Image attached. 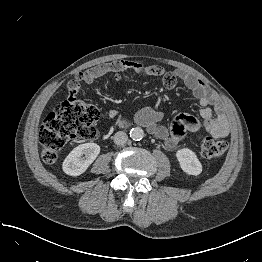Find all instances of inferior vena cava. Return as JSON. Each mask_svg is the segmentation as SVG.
<instances>
[{
	"instance_id": "602c4592",
	"label": "inferior vena cava",
	"mask_w": 262,
	"mask_h": 262,
	"mask_svg": "<svg viewBox=\"0 0 262 262\" xmlns=\"http://www.w3.org/2000/svg\"><path fill=\"white\" fill-rule=\"evenodd\" d=\"M113 139L115 144L123 145L126 143L128 136L125 132L119 131L114 135Z\"/></svg>"
}]
</instances>
